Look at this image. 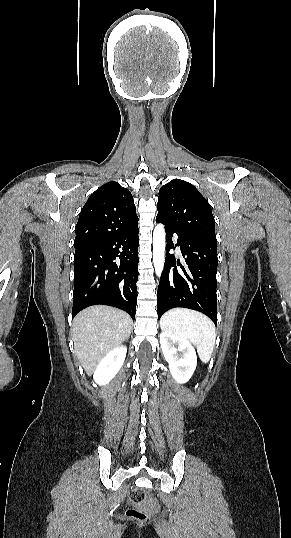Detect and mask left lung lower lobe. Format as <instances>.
Masks as SVG:
<instances>
[{"label": "left lung lower lobe", "instance_id": "1", "mask_svg": "<svg viewBox=\"0 0 291 538\" xmlns=\"http://www.w3.org/2000/svg\"><path fill=\"white\" fill-rule=\"evenodd\" d=\"M158 223L161 222L156 218ZM164 224V223H163ZM165 225L167 255L157 292L158 318L167 310L184 307L200 311L217 323L216 272L217 239L189 234ZM173 234L178 235L182 263L169 251L174 247Z\"/></svg>", "mask_w": 291, "mask_h": 538}]
</instances>
